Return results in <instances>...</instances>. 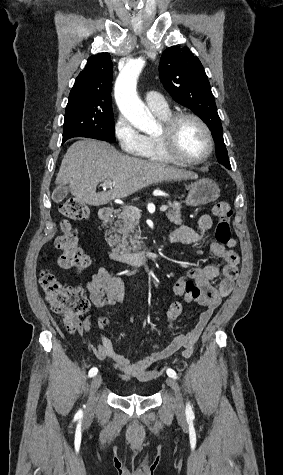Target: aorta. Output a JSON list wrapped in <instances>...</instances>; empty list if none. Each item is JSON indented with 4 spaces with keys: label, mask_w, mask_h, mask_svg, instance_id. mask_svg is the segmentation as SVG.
<instances>
[{
    "label": "aorta",
    "mask_w": 283,
    "mask_h": 475,
    "mask_svg": "<svg viewBox=\"0 0 283 475\" xmlns=\"http://www.w3.org/2000/svg\"><path fill=\"white\" fill-rule=\"evenodd\" d=\"M145 64L142 58L130 60L119 73L114 88L116 104L122 115L137 129L152 134L158 124L137 94V79Z\"/></svg>",
    "instance_id": "762f6f07"
}]
</instances>
